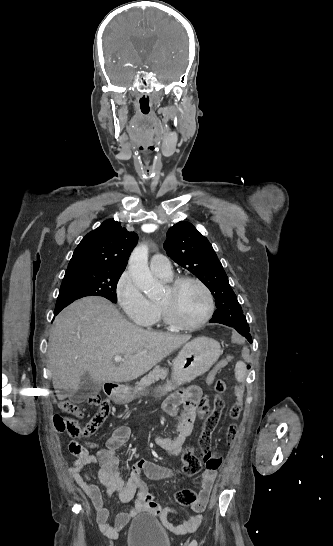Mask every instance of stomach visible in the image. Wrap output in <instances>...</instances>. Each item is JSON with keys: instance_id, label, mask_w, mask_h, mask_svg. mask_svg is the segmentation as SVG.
<instances>
[{"instance_id": "stomach-1", "label": "stomach", "mask_w": 333, "mask_h": 546, "mask_svg": "<svg viewBox=\"0 0 333 546\" xmlns=\"http://www.w3.org/2000/svg\"><path fill=\"white\" fill-rule=\"evenodd\" d=\"M221 354L218 341L210 337H196L186 343L173 361L172 379L161 389L163 393L173 390L176 386L191 382L207 372ZM144 391L141 395H144ZM114 401L129 402L132 399L128 387L118 388L112 394Z\"/></svg>"}]
</instances>
